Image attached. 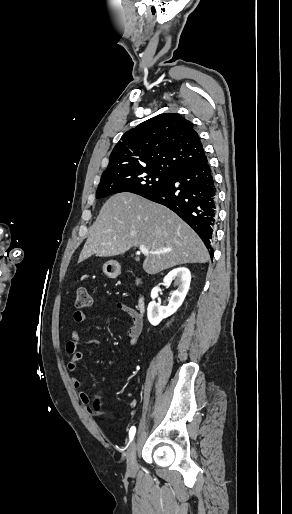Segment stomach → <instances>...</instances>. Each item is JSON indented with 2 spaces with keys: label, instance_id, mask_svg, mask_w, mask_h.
I'll return each mask as SVG.
<instances>
[{
  "label": "stomach",
  "instance_id": "0dacf381",
  "mask_svg": "<svg viewBox=\"0 0 292 514\" xmlns=\"http://www.w3.org/2000/svg\"><path fill=\"white\" fill-rule=\"evenodd\" d=\"M103 272L105 276H108V278H117L121 272V266L118 262L110 260V262L103 264Z\"/></svg>",
  "mask_w": 292,
  "mask_h": 514
}]
</instances>
